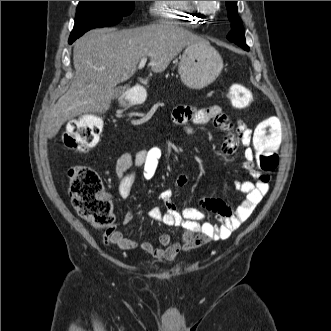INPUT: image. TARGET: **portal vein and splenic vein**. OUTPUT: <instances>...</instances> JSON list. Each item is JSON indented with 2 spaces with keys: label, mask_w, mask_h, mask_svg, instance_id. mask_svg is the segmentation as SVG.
<instances>
[{
  "label": "portal vein and splenic vein",
  "mask_w": 331,
  "mask_h": 331,
  "mask_svg": "<svg viewBox=\"0 0 331 331\" xmlns=\"http://www.w3.org/2000/svg\"><path fill=\"white\" fill-rule=\"evenodd\" d=\"M146 62H147V57L142 58V59L140 60V63H139L138 68H139V69L143 68V67L145 66Z\"/></svg>",
  "instance_id": "obj_1"
}]
</instances>
